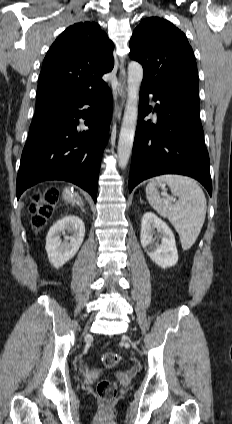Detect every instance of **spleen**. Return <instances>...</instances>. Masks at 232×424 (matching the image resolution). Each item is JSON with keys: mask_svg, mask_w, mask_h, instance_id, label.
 <instances>
[{"mask_svg": "<svg viewBox=\"0 0 232 424\" xmlns=\"http://www.w3.org/2000/svg\"><path fill=\"white\" fill-rule=\"evenodd\" d=\"M163 183H167L173 195L179 197L176 203L160 197L156 185ZM146 197L150 205L174 226L182 248L190 249L203 227L207 209L204 192L198 183L183 175H162L148 183Z\"/></svg>", "mask_w": 232, "mask_h": 424, "instance_id": "1", "label": "spleen"}]
</instances>
